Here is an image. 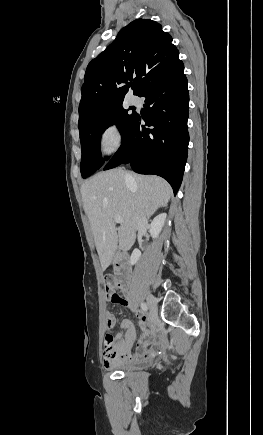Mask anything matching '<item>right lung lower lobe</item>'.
<instances>
[{
    "label": "right lung lower lobe",
    "mask_w": 263,
    "mask_h": 435,
    "mask_svg": "<svg viewBox=\"0 0 263 435\" xmlns=\"http://www.w3.org/2000/svg\"><path fill=\"white\" fill-rule=\"evenodd\" d=\"M145 97L146 115H136L122 145L104 170L129 163L140 174L166 179L176 195L186 164L189 134V94L184 65L155 81L140 95ZM141 120L151 128L141 125Z\"/></svg>",
    "instance_id": "obj_1"
}]
</instances>
